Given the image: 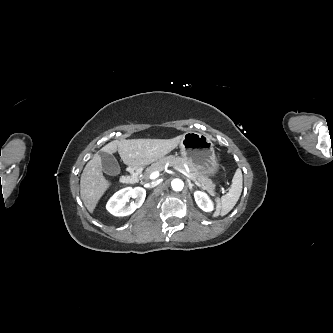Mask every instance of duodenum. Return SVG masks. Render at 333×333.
<instances>
[{
    "instance_id": "obj_1",
    "label": "duodenum",
    "mask_w": 333,
    "mask_h": 333,
    "mask_svg": "<svg viewBox=\"0 0 333 333\" xmlns=\"http://www.w3.org/2000/svg\"><path fill=\"white\" fill-rule=\"evenodd\" d=\"M140 171L137 168L131 167L126 175L123 176L124 184H134L139 180Z\"/></svg>"
}]
</instances>
